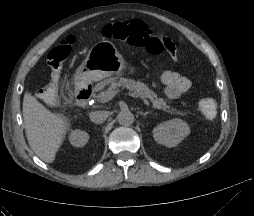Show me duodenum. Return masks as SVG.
Instances as JSON below:
<instances>
[{"instance_id":"1","label":"duodenum","mask_w":254,"mask_h":216,"mask_svg":"<svg viewBox=\"0 0 254 216\" xmlns=\"http://www.w3.org/2000/svg\"><path fill=\"white\" fill-rule=\"evenodd\" d=\"M93 87L90 84L79 87L75 92L76 102L81 106L88 105V102L92 95Z\"/></svg>"}]
</instances>
